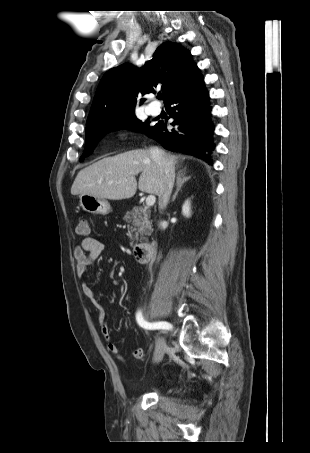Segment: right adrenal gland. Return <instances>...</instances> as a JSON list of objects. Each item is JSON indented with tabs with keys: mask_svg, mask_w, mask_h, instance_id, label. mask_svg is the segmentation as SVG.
<instances>
[{
	"mask_svg": "<svg viewBox=\"0 0 310 453\" xmlns=\"http://www.w3.org/2000/svg\"><path fill=\"white\" fill-rule=\"evenodd\" d=\"M189 179H191V176H185V170H181L180 172H178L177 178H176V186H177V188H176V191H175L174 195L172 196L171 202L175 201V199H176V197L178 195V192L181 190V187Z\"/></svg>",
	"mask_w": 310,
	"mask_h": 453,
	"instance_id": "obj_1",
	"label": "right adrenal gland"
}]
</instances>
